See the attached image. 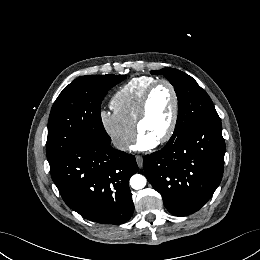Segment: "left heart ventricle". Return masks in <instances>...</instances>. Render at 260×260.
<instances>
[{
    "label": "left heart ventricle",
    "instance_id": "1",
    "mask_svg": "<svg viewBox=\"0 0 260 260\" xmlns=\"http://www.w3.org/2000/svg\"><path fill=\"white\" fill-rule=\"evenodd\" d=\"M173 112V96L170 89L159 86L151 96L146 117L141 123L140 134L158 141L167 131Z\"/></svg>",
    "mask_w": 260,
    "mask_h": 260
}]
</instances>
